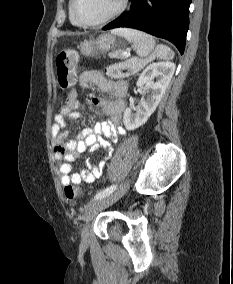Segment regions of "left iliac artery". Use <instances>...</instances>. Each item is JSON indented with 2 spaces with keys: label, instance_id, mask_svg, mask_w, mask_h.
Instances as JSON below:
<instances>
[{
  "label": "left iliac artery",
  "instance_id": "1",
  "mask_svg": "<svg viewBox=\"0 0 233 284\" xmlns=\"http://www.w3.org/2000/svg\"><path fill=\"white\" fill-rule=\"evenodd\" d=\"M116 187H117V185H111V186L103 189L102 191H100L96 194L94 199H100V198H103L105 196L110 195L116 189Z\"/></svg>",
  "mask_w": 233,
  "mask_h": 284
}]
</instances>
